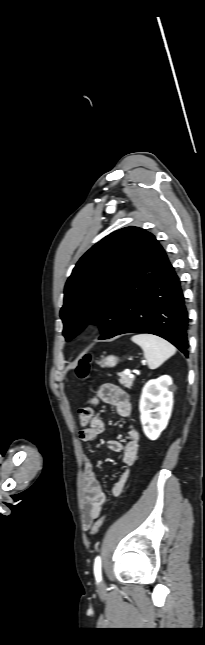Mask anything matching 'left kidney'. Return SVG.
Wrapping results in <instances>:
<instances>
[{"instance_id":"left-kidney-1","label":"left kidney","mask_w":205,"mask_h":645,"mask_svg":"<svg viewBox=\"0 0 205 645\" xmlns=\"http://www.w3.org/2000/svg\"><path fill=\"white\" fill-rule=\"evenodd\" d=\"M171 385V377L164 375L149 380L142 390L140 419L143 431L150 440H156L168 424L173 407V393L169 390Z\"/></svg>"}]
</instances>
